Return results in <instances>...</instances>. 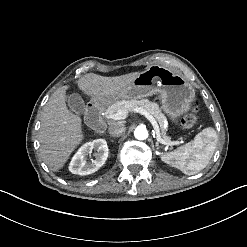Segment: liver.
Returning a JSON list of instances; mask_svg holds the SVG:
<instances>
[{
  "label": "liver",
  "instance_id": "1",
  "mask_svg": "<svg viewBox=\"0 0 247 247\" xmlns=\"http://www.w3.org/2000/svg\"><path fill=\"white\" fill-rule=\"evenodd\" d=\"M139 74L133 72L104 77L88 73L79 78L77 84L85 94L100 100L105 95L119 94L131 86ZM67 89V85L59 87L49 98L41 114L40 153L51 171L61 169L83 139L81 118L71 113L66 106Z\"/></svg>",
  "mask_w": 247,
  "mask_h": 247
}]
</instances>
